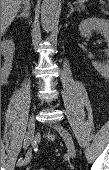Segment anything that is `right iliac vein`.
I'll return each instance as SVG.
<instances>
[{
  "instance_id": "63e3f726",
  "label": "right iliac vein",
  "mask_w": 109,
  "mask_h": 170,
  "mask_svg": "<svg viewBox=\"0 0 109 170\" xmlns=\"http://www.w3.org/2000/svg\"><path fill=\"white\" fill-rule=\"evenodd\" d=\"M35 127H36L35 118L34 116H31L28 123V128L25 137V139L28 141L29 144L33 143L35 139ZM30 159H31V151L29 150L23 160L24 161L23 165H27L30 162Z\"/></svg>"
}]
</instances>
